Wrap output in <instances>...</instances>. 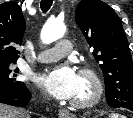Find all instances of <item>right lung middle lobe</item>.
<instances>
[{"mask_svg": "<svg viewBox=\"0 0 133 118\" xmlns=\"http://www.w3.org/2000/svg\"><path fill=\"white\" fill-rule=\"evenodd\" d=\"M15 62H0V89L17 87L23 82L17 81L18 69H14Z\"/></svg>", "mask_w": 133, "mask_h": 118, "instance_id": "right-lung-middle-lobe-1", "label": "right lung middle lobe"}]
</instances>
